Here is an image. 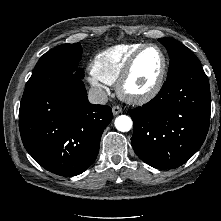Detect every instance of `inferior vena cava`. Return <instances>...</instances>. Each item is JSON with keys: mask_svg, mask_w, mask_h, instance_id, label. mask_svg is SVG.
<instances>
[{"mask_svg": "<svg viewBox=\"0 0 221 221\" xmlns=\"http://www.w3.org/2000/svg\"><path fill=\"white\" fill-rule=\"evenodd\" d=\"M88 100L92 104H106L108 95L103 89L93 87L88 92Z\"/></svg>", "mask_w": 221, "mask_h": 221, "instance_id": "602c4592", "label": "inferior vena cava"}]
</instances>
